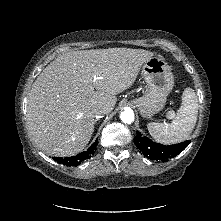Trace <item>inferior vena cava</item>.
I'll return each mask as SVG.
<instances>
[{"label": "inferior vena cava", "instance_id": "obj_1", "mask_svg": "<svg viewBox=\"0 0 221 221\" xmlns=\"http://www.w3.org/2000/svg\"><path fill=\"white\" fill-rule=\"evenodd\" d=\"M107 113V109L102 106H96L91 110V115L96 119L103 117Z\"/></svg>", "mask_w": 221, "mask_h": 221}]
</instances>
